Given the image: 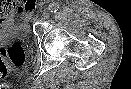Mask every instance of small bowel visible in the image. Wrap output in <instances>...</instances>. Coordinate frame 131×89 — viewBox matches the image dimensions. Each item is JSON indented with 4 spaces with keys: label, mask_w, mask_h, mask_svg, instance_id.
I'll list each match as a JSON object with an SVG mask.
<instances>
[{
    "label": "small bowel",
    "mask_w": 131,
    "mask_h": 89,
    "mask_svg": "<svg viewBox=\"0 0 131 89\" xmlns=\"http://www.w3.org/2000/svg\"><path fill=\"white\" fill-rule=\"evenodd\" d=\"M12 8V14L9 16V13L6 10H0V25H10L12 22V16L22 15V16H31L36 8L34 0H27L22 4H10Z\"/></svg>",
    "instance_id": "small-bowel-1"
}]
</instances>
